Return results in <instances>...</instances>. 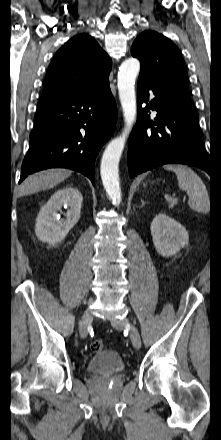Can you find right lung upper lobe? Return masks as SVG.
Instances as JSON below:
<instances>
[{"label": "right lung upper lobe", "mask_w": 221, "mask_h": 440, "mask_svg": "<svg viewBox=\"0 0 221 440\" xmlns=\"http://www.w3.org/2000/svg\"><path fill=\"white\" fill-rule=\"evenodd\" d=\"M112 62L96 40L72 37L51 61L40 101L97 93L109 86Z\"/></svg>", "instance_id": "cb5924a9"}]
</instances>
